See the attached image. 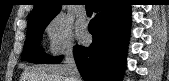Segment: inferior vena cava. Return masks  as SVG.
Segmentation results:
<instances>
[{"instance_id":"1","label":"inferior vena cava","mask_w":169,"mask_h":81,"mask_svg":"<svg viewBox=\"0 0 169 81\" xmlns=\"http://www.w3.org/2000/svg\"><path fill=\"white\" fill-rule=\"evenodd\" d=\"M65 68L70 81H81L72 47H69L65 53Z\"/></svg>"}]
</instances>
